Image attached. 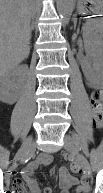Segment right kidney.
Listing matches in <instances>:
<instances>
[{
	"label": "right kidney",
	"mask_w": 103,
	"mask_h": 193,
	"mask_svg": "<svg viewBox=\"0 0 103 193\" xmlns=\"http://www.w3.org/2000/svg\"><path fill=\"white\" fill-rule=\"evenodd\" d=\"M26 66H18L0 75V100L3 103L14 104L18 99L21 81L17 77L26 71Z\"/></svg>",
	"instance_id": "1"
}]
</instances>
